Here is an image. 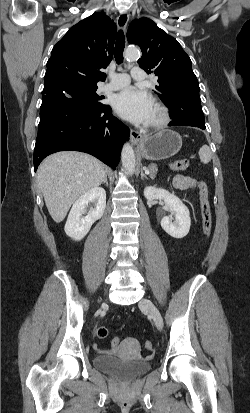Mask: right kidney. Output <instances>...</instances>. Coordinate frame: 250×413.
I'll return each instance as SVG.
<instances>
[{"instance_id":"obj_1","label":"right kidney","mask_w":250,"mask_h":413,"mask_svg":"<svg viewBox=\"0 0 250 413\" xmlns=\"http://www.w3.org/2000/svg\"><path fill=\"white\" fill-rule=\"evenodd\" d=\"M89 203H95L85 217V208ZM106 208V192L101 187H95L81 195L73 204L65 224V232L73 240L83 239L89 232L92 224L103 216Z\"/></svg>"}]
</instances>
